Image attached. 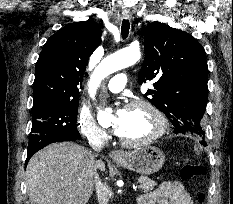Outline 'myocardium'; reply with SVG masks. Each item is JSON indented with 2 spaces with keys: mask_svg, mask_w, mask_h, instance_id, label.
Here are the masks:
<instances>
[{
  "mask_svg": "<svg viewBox=\"0 0 233 204\" xmlns=\"http://www.w3.org/2000/svg\"><path fill=\"white\" fill-rule=\"evenodd\" d=\"M137 107H143L146 108L150 113L154 116V118L157 121V129L156 131L148 136L147 138L141 139V140H127L122 138L121 136H118L119 141L128 147H144L153 144L157 140H159L167 131L168 123L165 115L163 112L152 102L146 100V99H135L130 101L126 108H137Z\"/></svg>",
  "mask_w": 233,
  "mask_h": 204,
  "instance_id": "1",
  "label": "myocardium"
}]
</instances>
